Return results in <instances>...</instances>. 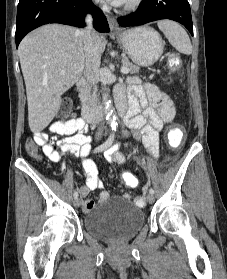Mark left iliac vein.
Returning a JSON list of instances; mask_svg holds the SVG:
<instances>
[{"mask_svg":"<svg viewBox=\"0 0 227 279\" xmlns=\"http://www.w3.org/2000/svg\"><path fill=\"white\" fill-rule=\"evenodd\" d=\"M147 201H148L149 203H153V202H154V195L151 194V193H149V194L147 195Z\"/></svg>","mask_w":227,"mask_h":279,"instance_id":"left-iliac-vein-1","label":"left iliac vein"}]
</instances>
